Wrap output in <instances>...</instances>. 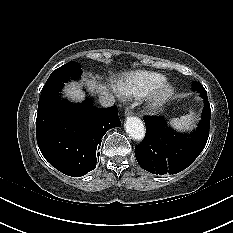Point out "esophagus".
<instances>
[{
	"label": "esophagus",
	"mask_w": 233,
	"mask_h": 233,
	"mask_svg": "<svg viewBox=\"0 0 233 233\" xmlns=\"http://www.w3.org/2000/svg\"><path fill=\"white\" fill-rule=\"evenodd\" d=\"M133 114L132 110L130 107H126L125 109V116H131Z\"/></svg>",
	"instance_id": "esophagus-1"
}]
</instances>
